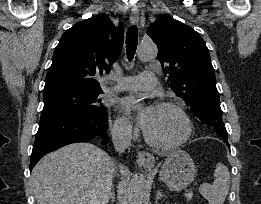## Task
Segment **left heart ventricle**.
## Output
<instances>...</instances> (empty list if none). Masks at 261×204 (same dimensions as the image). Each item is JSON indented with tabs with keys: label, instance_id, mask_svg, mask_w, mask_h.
Masks as SVG:
<instances>
[{
	"label": "left heart ventricle",
	"instance_id": "1",
	"mask_svg": "<svg viewBox=\"0 0 261 204\" xmlns=\"http://www.w3.org/2000/svg\"><path fill=\"white\" fill-rule=\"evenodd\" d=\"M145 130L160 143L178 141L185 132V124L177 111L171 108L152 107Z\"/></svg>",
	"mask_w": 261,
	"mask_h": 204
}]
</instances>
